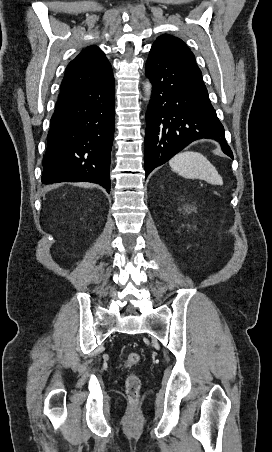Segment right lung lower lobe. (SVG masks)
<instances>
[{
    "instance_id": "obj_1",
    "label": "right lung lower lobe",
    "mask_w": 272,
    "mask_h": 452,
    "mask_svg": "<svg viewBox=\"0 0 272 452\" xmlns=\"http://www.w3.org/2000/svg\"><path fill=\"white\" fill-rule=\"evenodd\" d=\"M115 127L114 77L56 103L43 160V184L93 182L110 192Z\"/></svg>"
}]
</instances>
